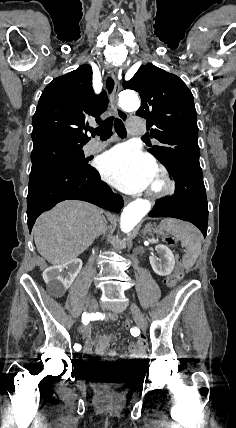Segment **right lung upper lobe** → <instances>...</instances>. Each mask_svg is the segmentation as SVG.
<instances>
[{
    "label": "right lung upper lobe",
    "instance_id": "cb5924a9",
    "mask_svg": "<svg viewBox=\"0 0 236 428\" xmlns=\"http://www.w3.org/2000/svg\"><path fill=\"white\" fill-rule=\"evenodd\" d=\"M107 108L106 93L99 96L92 89V68L81 65L66 75L55 78L42 92L33 116V146L54 140H85L87 118L101 123Z\"/></svg>",
    "mask_w": 236,
    "mask_h": 428
}]
</instances>
